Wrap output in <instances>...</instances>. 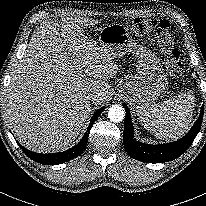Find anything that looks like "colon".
<instances>
[{
	"instance_id": "obj_1",
	"label": "colon",
	"mask_w": 206,
	"mask_h": 206,
	"mask_svg": "<svg viewBox=\"0 0 206 206\" xmlns=\"http://www.w3.org/2000/svg\"><path fill=\"white\" fill-rule=\"evenodd\" d=\"M131 31L136 36H148L153 39L169 74L174 77L182 75L181 52L173 40L168 21L137 18L131 24Z\"/></svg>"
}]
</instances>
